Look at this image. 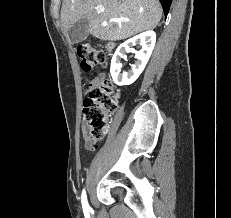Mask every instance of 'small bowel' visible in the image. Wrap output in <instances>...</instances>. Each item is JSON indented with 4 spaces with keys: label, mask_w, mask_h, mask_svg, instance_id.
I'll use <instances>...</instances> for the list:
<instances>
[{
    "label": "small bowel",
    "mask_w": 231,
    "mask_h": 218,
    "mask_svg": "<svg viewBox=\"0 0 231 218\" xmlns=\"http://www.w3.org/2000/svg\"><path fill=\"white\" fill-rule=\"evenodd\" d=\"M103 79H104V76L102 74L96 76L94 79H92L89 82V87L93 88L94 86L99 84L101 81H103ZM81 134H82V139L84 141L85 148L89 151L94 150L96 148V145L89 139L85 127H82Z\"/></svg>",
    "instance_id": "small-bowel-1"
}]
</instances>
